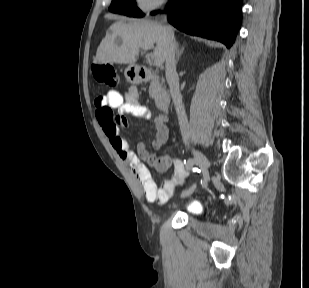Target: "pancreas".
<instances>
[{
  "instance_id": "pancreas-1",
  "label": "pancreas",
  "mask_w": 309,
  "mask_h": 288,
  "mask_svg": "<svg viewBox=\"0 0 309 288\" xmlns=\"http://www.w3.org/2000/svg\"><path fill=\"white\" fill-rule=\"evenodd\" d=\"M165 92L164 80H160L157 73L153 72L150 87L149 95L154 98L156 102L159 101L160 96Z\"/></svg>"
}]
</instances>
